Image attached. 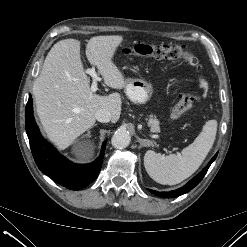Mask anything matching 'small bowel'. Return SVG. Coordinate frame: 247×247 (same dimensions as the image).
<instances>
[{"label": "small bowel", "mask_w": 247, "mask_h": 247, "mask_svg": "<svg viewBox=\"0 0 247 247\" xmlns=\"http://www.w3.org/2000/svg\"><path fill=\"white\" fill-rule=\"evenodd\" d=\"M200 87L202 88L203 95L205 96L206 91H207V84H206V82H205L204 80H202V81L200 82Z\"/></svg>", "instance_id": "obj_1"}]
</instances>
